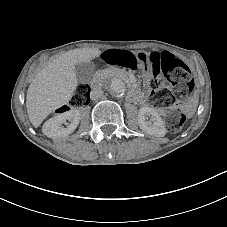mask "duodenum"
<instances>
[{
    "instance_id": "obj_1",
    "label": "duodenum",
    "mask_w": 227,
    "mask_h": 227,
    "mask_svg": "<svg viewBox=\"0 0 227 227\" xmlns=\"http://www.w3.org/2000/svg\"><path fill=\"white\" fill-rule=\"evenodd\" d=\"M143 101H144V102H146V101H147V99H146V98H144V99H143Z\"/></svg>"
}]
</instances>
